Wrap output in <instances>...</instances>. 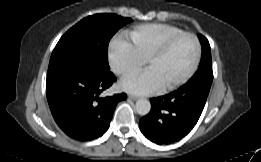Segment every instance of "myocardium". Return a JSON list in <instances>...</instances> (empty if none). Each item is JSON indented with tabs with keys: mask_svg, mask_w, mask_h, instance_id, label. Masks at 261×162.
Instances as JSON below:
<instances>
[{
	"mask_svg": "<svg viewBox=\"0 0 261 162\" xmlns=\"http://www.w3.org/2000/svg\"><path fill=\"white\" fill-rule=\"evenodd\" d=\"M183 37H191L194 40V43L196 46V54H195L194 62L192 64L191 68L189 69V71L183 77H181L177 81H175L169 85H166L162 88V90L165 92L172 91V90L177 89L178 87L182 86L189 79H191L192 76L197 71L198 66L200 64L201 55H202V48H201V43L199 41V38L194 33H191V32H181L179 34L171 36L167 40H165L161 45H159L157 48H155L152 52H150L145 60V64L148 65L149 62L152 61L153 59L164 55L176 41H178L179 39H181Z\"/></svg>",
	"mask_w": 261,
	"mask_h": 162,
	"instance_id": "f54148a6",
	"label": "myocardium"
}]
</instances>
